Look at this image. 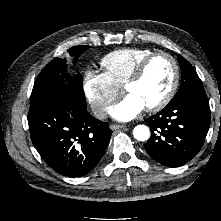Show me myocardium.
Segmentation results:
<instances>
[{"instance_id":"f54148a6","label":"myocardium","mask_w":221,"mask_h":221,"mask_svg":"<svg viewBox=\"0 0 221 221\" xmlns=\"http://www.w3.org/2000/svg\"><path fill=\"white\" fill-rule=\"evenodd\" d=\"M157 56H165L166 58L170 60L173 66V79L165 96L157 103L146 107V109L150 112H156L166 107L169 104V102L173 99L177 91L179 80H180V68L175 57L166 51H155V52L150 53L137 64L134 71L132 72V74L130 75L126 83L124 84V87L126 90L127 87L138 82L143 77L148 64Z\"/></svg>"}]
</instances>
